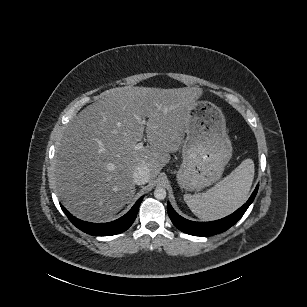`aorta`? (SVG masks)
I'll use <instances>...</instances> for the list:
<instances>
[{
  "label": "aorta",
  "mask_w": 307,
  "mask_h": 307,
  "mask_svg": "<svg viewBox=\"0 0 307 307\" xmlns=\"http://www.w3.org/2000/svg\"><path fill=\"white\" fill-rule=\"evenodd\" d=\"M154 196L160 200L164 199L166 197V189L163 187H156L154 190Z\"/></svg>",
  "instance_id": "aorta-1"
}]
</instances>
